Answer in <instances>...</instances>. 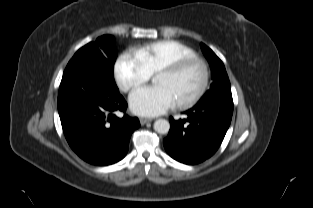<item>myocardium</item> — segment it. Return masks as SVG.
Returning a JSON list of instances; mask_svg holds the SVG:
<instances>
[{
	"mask_svg": "<svg viewBox=\"0 0 313 208\" xmlns=\"http://www.w3.org/2000/svg\"><path fill=\"white\" fill-rule=\"evenodd\" d=\"M192 65H197L200 67L202 73L201 82L194 94H192L186 99L175 102V105L178 108H188L196 104L205 94L210 80L209 67L207 63L202 58H199L197 56L185 57L161 67L156 72V75L157 74L176 75Z\"/></svg>",
	"mask_w": 313,
	"mask_h": 208,
	"instance_id": "myocardium-1",
	"label": "myocardium"
}]
</instances>
